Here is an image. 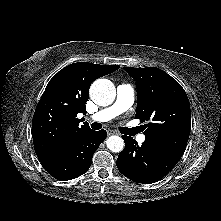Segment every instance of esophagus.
<instances>
[{
  "mask_svg": "<svg viewBox=\"0 0 221 221\" xmlns=\"http://www.w3.org/2000/svg\"><path fill=\"white\" fill-rule=\"evenodd\" d=\"M107 134H108V136H111V135L117 134V132H115L114 130L109 129L107 131Z\"/></svg>",
  "mask_w": 221,
  "mask_h": 221,
  "instance_id": "34e87169",
  "label": "esophagus"
}]
</instances>
